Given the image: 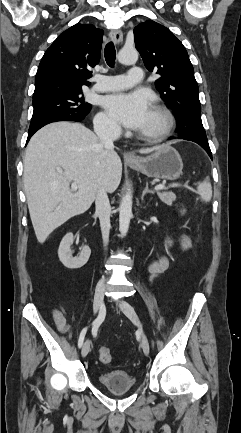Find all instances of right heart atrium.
Here are the masks:
<instances>
[{"instance_id": "right-heart-atrium-1", "label": "right heart atrium", "mask_w": 241, "mask_h": 433, "mask_svg": "<svg viewBox=\"0 0 241 433\" xmlns=\"http://www.w3.org/2000/svg\"><path fill=\"white\" fill-rule=\"evenodd\" d=\"M95 128L98 132L109 135H117L120 133L118 124L107 114L101 112L95 118Z\"/></svg>"}]
</instances>
